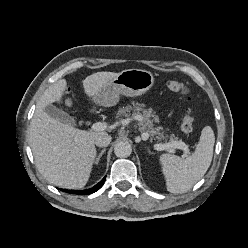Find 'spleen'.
<instances>
[{"instance_id": "1", "label": "spleen", "mask_w": 248, "mask_h": 248, "mask_svg": "<svg viewBox=\"0 0 248 248\" xmlns=\"http://www.w3.org/2000/svg\"><path fill=\"white\" fill-rule=\"evenodd\" d=\"M215 136L210 126L203 128L195 151L187 158L163 154L160 156L167 190L182 194L190 190L207 172L213 157Z\"/></svg>"}]
</instances>
